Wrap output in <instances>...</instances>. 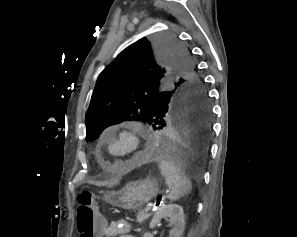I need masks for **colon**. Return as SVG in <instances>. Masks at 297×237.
<instances>
[{
	"label": "colon",
	"instance_id": "obj_1",
	"mask_svg": "<svg viewBox=\"0 0 297 237\" xmlns=\"http://www.w3.org/2000/svg\"><path fill=\"white\" fill-rule=\"evenodd\" d=\"M103 226L96 207V196L88 190L78 195L77 229L79 237H98Z\"/></svg>",
	"mask_w": 297,
	"mask_h": 237
}]
</instances>
